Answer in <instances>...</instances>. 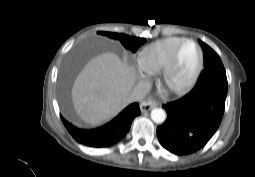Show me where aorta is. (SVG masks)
<instances>
[{
    "label": "aorta",
    "instance_id": "aorta-1",
    "mask_svg": "<svg viewBox=\"0 0 255 177\" xmlns=\"http://www.w3.org/2000/svg\"><path fill=\"white\" fill-rule=\"evenodd\" d=\"M151 119L157 124L163 123L166 119V113L161 108H154L151 111Z\"/></svg>",
    "mask_w": 255,
    "mask_h": 177
}]
</instances>
